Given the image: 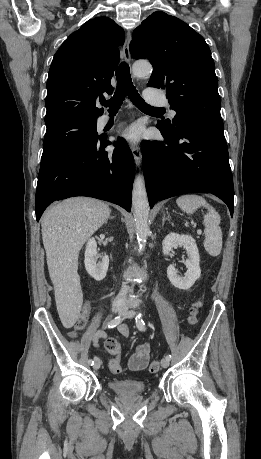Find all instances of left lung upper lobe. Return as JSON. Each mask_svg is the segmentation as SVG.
Wrapping results in <instances>:
<instances>
[{
  "instance_id": "1",
  "label": "left lung upper lobe",
  "mask_w": 261,
  "mask_h": 459,
  "mask_svg": "<svg viewBox=\"0 0 261 459\" xmlns=\"http://www.w3.org/2000/svg\"><path fill=\"white\" fill-rule=\"evenodd\" d=\"M130 52L148 58L153 72L148 86L166 90L176 115L159 122L166 130L196 125H223L218 81L204 38L180 19L154 12L136 28Z\"/></svg>"
}]
</instances>
